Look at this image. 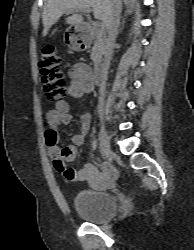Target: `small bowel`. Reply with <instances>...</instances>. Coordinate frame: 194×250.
<instances>
[{"label":"small bowel","instance_id":"small-bowel-1","mask_svg":"<svg viewBox=\"0 0 194 250\" xmlns=\"http://www.w3.org/2000/svg\"><path fill=\"white\" fill-rule=\"evenodd\" d=\"M70 83L66 87V93L74 98L82 97L90 93L94 84L91 79V68L85 63L75 64L69 71ZM74 115L71 112L67 101H58L55 109L46 114V129L44 131L45 143L49 156L53 160L54 167L62 176L72 182L95 183L98 172L91 163H86L81 169L75 170L66 167L67 162L74 160L78 148L83 145L85 137L90 129L91 117L88 113L78 114L80 130L72 137V142L66 146L59 145V126L69 125L73 121ZM104 176L110 180L115 178V168L107 164L103 168Z\"/></svg>","mask_w":194,"mask_h":250}]
</instances>
